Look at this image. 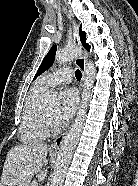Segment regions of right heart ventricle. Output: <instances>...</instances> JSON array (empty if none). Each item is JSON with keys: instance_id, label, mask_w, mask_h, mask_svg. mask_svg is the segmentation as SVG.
<instances>
[{"instance_id": "right-heart-ventricle-1", "label": "right heart ventricle", "mask_w": 138, "mask_h": 186, "mask_svg": "<svg viewBox=\"0 0 138 186\" xmlns=\"http://www.w3.org/2000/svg\"><path fill=\"white\" fill-rule=\"evenodd\" d=\"M47 90L48 87L39 80L29 94L19 128V138L23 143H36L46 139L48 135L40 125L43 96Z\"/></svg>"}]
</instances>
